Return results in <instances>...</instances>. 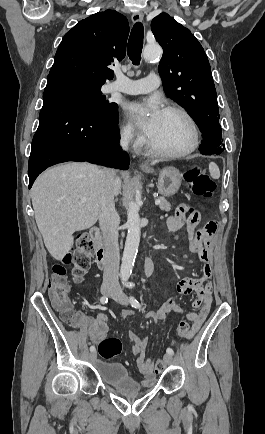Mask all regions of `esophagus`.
I'll use <instances>...</instances> for the list:
<instances>
[{
	"mask_svg": "<svg viewBox=\"0 0 265 434\" xmlns=\"http://www.w3.org/2000/svg\"><path fill=\"white\" fill-rule=\"evenodd\" d=\"M143 13L142 12H135L132 15V22L133 23H137V22H141V20H143ZM140 167H146L144 164H140Z\"/></svg>",
	"mask_w": 265,
	"mask_h": 434,
	"instance_id": "34e87169",
	"label": "esophagus"
}]
</instances>
